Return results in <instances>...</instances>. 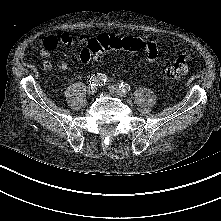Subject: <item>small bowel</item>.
<instances>
[{"label":"small bowel","mask_w":221,"mask_h":221,"mask_svg":"<svg viewBox=\"0 0 221 221\" xmlns=\"http://www.w3.org/2000/svg\"><path fill=\"white\" fill-rule=\"evenodd\" d=\"M86 42H87V38L83 36L77 38L78 44H85ZM60 43L66 44V45H72L73 39L67 34H62L58 36H48L43 40L42 48L40 50V55L43 58H45L43 66L46 70H52L54 66H57L60 70H63V71L68 69L67 61L60 60L59 62L55 63L51 59L52 51H54ZM82 50L80 51V55H81ZM144 53H145V60L147 61V63L153 64L157 60L158 50H157L156 44L152 40H146V48H145ZM89 62L90 61H87L84 63H89Z\"/></svg>","instance_id":"1"}]
</instances>
